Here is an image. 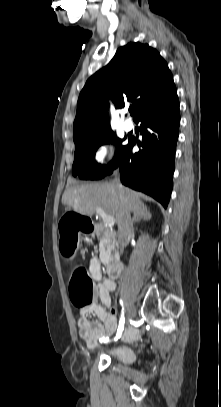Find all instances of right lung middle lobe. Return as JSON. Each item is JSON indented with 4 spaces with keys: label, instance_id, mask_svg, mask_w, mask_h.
Masks as SVG:
<instances>
[{
    "label": "right lung middle lobe",
    "instance_id": "1",
    "mask_svg": "<svg viewBox=\"0 0 221 407\" xmlns=\"http://www.w3.org/2000/svg\"><path fill=\"white\" fill-rule=\"evenodd\" d=\"M122 140L117 138L112 130L103 132L90 139L75 144L74 163L72 174L80 179L97 180L103 178L120 160L126 146L121 145ZM105 143L117 145L114 159L108 165H101L95 161V153L99 146Z\"/></svg>",
    "mask_w": 221,
    "mask_h": 407
}]
</instances>
